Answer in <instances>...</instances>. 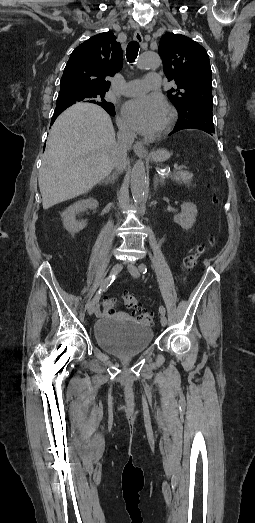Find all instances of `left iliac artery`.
<instances>
[{
  "label": "left iliac artery",
  "mask_w": 255,
  "mask_h": 523,
  "mask_svg": "<svg viewBox=\"0 0 255 523\" xmlns=\"http://www.w3.org/2000/svg\"><path fill=\"white\" fill-rule=\"evenodd\" d=\"M139 270H140L142 273L145 274V273L147 272V267H146V265L143 264V263L140 264V265H139ZM159 312H160L162 315H165V312H166V311H165V307L161 305V306L159 307Z\"/></svg>",
  "instance_id": "1"
}]
</instances>
